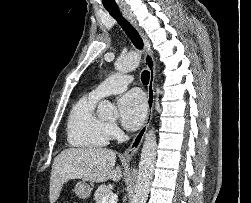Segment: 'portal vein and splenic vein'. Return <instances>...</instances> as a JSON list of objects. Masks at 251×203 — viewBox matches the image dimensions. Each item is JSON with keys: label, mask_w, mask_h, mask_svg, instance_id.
I'll list each match as a JSON object with an SVG mask.
<instances>
[{"label": "portal vein and splenic vein", "mask_w": 251, "mask_h": 203, "mask_svg": "<svg viewBox=\"0 0 251 203\" xmlns=\"http://www.w3.org/2000/svg\"><path fill=\"white\" fill-rule=\"evenodd\" d=\"M118 196L116 194L107 195L103 198L102 203H117Z\"/></svg>", "instance_id": "portal-vein-and-splenic-vein-1"}]
</instances>
